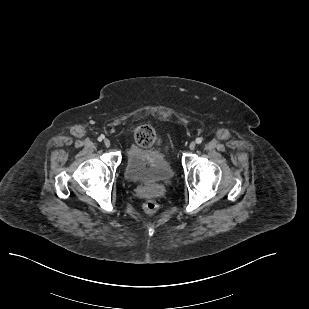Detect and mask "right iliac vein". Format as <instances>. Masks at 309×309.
I'll use <instances>...</instances> for the list:
<instances>
[{"label":"right iliac vein","mask_w":309,"mask_h":309,"mask_svg":"<svg viewBox=\"0 0 309 309\" xmlns=\"http://www.w3.org/2000/svg\"><path fill=\"white\" fill-rule=\"evenodd\" d=\"M104 145L106 146V147H109L110 145H111V142H110V140L109 139H104Z\"/></svg>","instance_id":"1"}]
</instances>
